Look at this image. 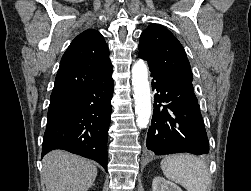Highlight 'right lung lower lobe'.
I'll list each match as a JSON object with an SVG mask.
<instances>
[{
	"label": "right lung lower lobe",
	"instance_id": "98d812e1",
	"mask_svg": "<svg viewBox=\"0 0 251 191\" xmlns=\"http://www.w3.org/2000/svg\"><path fill=\"white\" fill-rule=\"evenodd\" d=\"M113 79L50 102L42 157L63 149L100 163L107 171V140Z\"/></svg>",
	"mask_w": 251,
	"mask_h": 191
}]
</instances>
